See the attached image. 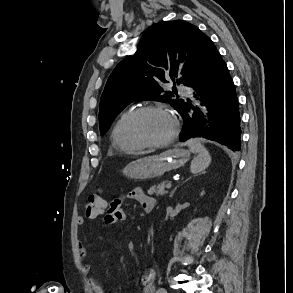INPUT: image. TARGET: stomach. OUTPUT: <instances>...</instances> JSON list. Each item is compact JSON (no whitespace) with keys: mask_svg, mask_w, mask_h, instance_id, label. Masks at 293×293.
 Returning a JSON list of instances; mask_svg holds the SVG:
<instances>
[{"mask_svg":"<svg viewBox=\"0 0 293 293\" xmlns=\"http://www.w3.org/2000/svg\"><path fill=\"white\" fill-rule=\"evenodd\" d=\"M189 157V151L174 148L158 155L134 160L125 166L123 173L134 180L153 179L183 166Z\"/></svg>","mask_w":293,"mask_h":293,"instance_id":"obj_1","label":"stomach"}]
</instances>
